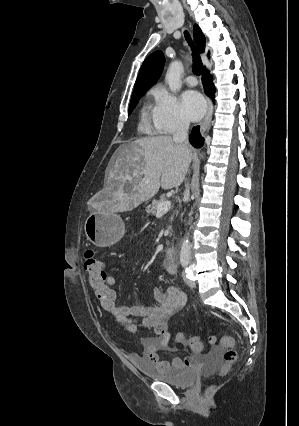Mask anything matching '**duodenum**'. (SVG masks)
Segmentation results:
<instances>
[{
	"mask_svg": "<svg viewBox=\"0 0 299 426\" xmlns=\"http://www.w3.org/2000/svg\"><path fill=\"white\" fill-rule=\"evenodd\" d=\"M177 257V253L174 248H167L165 251V260L167 261H175Z\"/></svg>",
	"mask_w": 299,
	"mask_h": 426,
	"instance_id": "1",
	"label": "duodenum"
}]
</instances>
